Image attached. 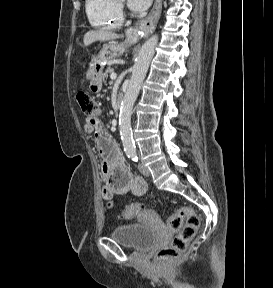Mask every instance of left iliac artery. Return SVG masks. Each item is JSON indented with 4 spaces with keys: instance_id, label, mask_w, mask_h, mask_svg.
Wrapping results in <instances>:
<instances>
[{
    "instance_id": "obj_1",
    "label": "left iliac artery",
    "mask_w": 273,
    "mask_h": 288,
    "mask_svg": "<svg viewBox=\"0 0 273 288\" xmlns=\"http://www.w3.org/2000/svg\"><path fill=\"white\" fill-rule=\"evenodd\" d=\"M129 157H131V159H132L134 162H138V157H137V155H136L135 153L129 155Z\"/></svg>"
}]
</instances>
